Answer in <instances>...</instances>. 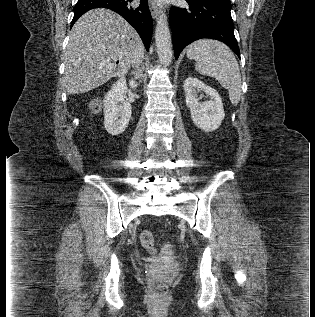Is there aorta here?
<instances>
[{
  "instance_id": "762f6f07",
  "label": "aorta",
  "mask_w": 315,
  "mask_h": 317,
  "mask_svg": "<svg viewBox=\"0 0 315 317\" xmlns=\"http://www.w3.org/2000/svg\"><path fill=\"white\" fill-rule=\"evenodd\" d=\"M156 50L160 62L168 66L172 61L173 51L171 35L165 11H161L155 29Z\"/></svg>"
}]
</instances>
